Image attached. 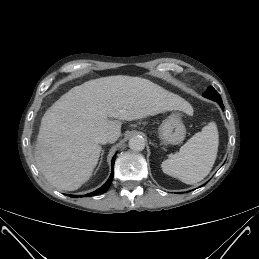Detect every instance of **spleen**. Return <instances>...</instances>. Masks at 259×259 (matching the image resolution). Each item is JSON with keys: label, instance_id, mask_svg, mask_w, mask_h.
Returning <instances> with one entry per match:
<instances>
[{"label": "spleen", "instance_id": "spleen-1", "mask_svg": "<svg viewBox=\"0 0 259 259\" xmlns=\"http://www.w3.org/2000/svg\"><path fill=\"white\" fill-rule=\"evenodd\" d=\"M219 135L215 122L193 135L175 154L162 162L165 174L186 184L203 180L211 171L218 152Z\"/></svg>", "mask_w": 259, "mask_h": 259}]
</instances>
